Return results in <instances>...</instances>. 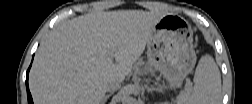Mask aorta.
Here are the masks:
<instances>
[{
    "label": "aorta",
    "mask_w": 252,
    "mask_h": 104,
    "mask_svg": "<svg viewBox=\"0 0 252 104\" xmlns=\"http://www.w3.org/2000/svg\"><path fill=\"white\" fill-rule=\"evenodd\" d=\"M122 102L124 104H133L135 102V99L128 94H125L122 98Z\"/></svg>",
    "instance_id": "762f6f07"
}]
</instances>
